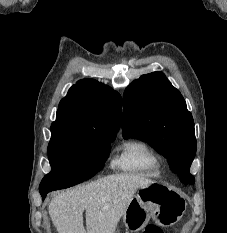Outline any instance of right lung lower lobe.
I'll use <instances>...</instances> for the list:
<instances>
[{
	"label": "right lung lower lobe",
	"instance_id": "obj_1",
	"mask_svg": "<svg viewBox=\"0 0 227 233\" xmlns=\"http://www.w3.org/2000/svg\"><path fill=\"white\" fill-rule=\"evenodd\" d=\"M47 193H48L47 191H41L40 192V194H41V196H42L43 199L46 197Z\"/></svg>",
	"mask_w": 227,
	"mask_h": 233
}]
</instances>
